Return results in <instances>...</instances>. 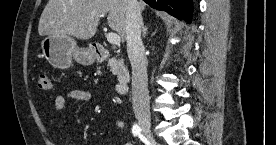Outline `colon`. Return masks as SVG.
<instances>
[{"label":"colon","instance_id":"5ec220e1","mask_svg":"<svg viewBox=\"0 0 276 145\" xmlns=\"http://www.w3.org/2000/svg\"><path fill=\"white\" fill-rule=\"evenodd\" d=\"M36 87L39 90L48 91L53 87L51 77L47 72H41L38 74Z\"/></svg>","mask_w":276,"mask_h":145}]
</instances>
